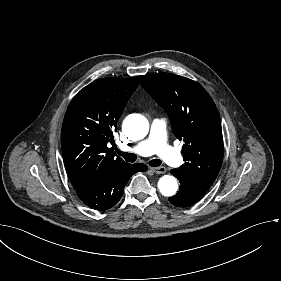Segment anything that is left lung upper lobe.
<instances>
[{"label":"left lung upper lobe","mask_w":281,"mask_h":281,"mask_svg":"<svg viewBox=\"0 0 281 281\" xmlns=\"http://www.w3.org/2000/svg\"><path fill=\"white\" fill-rule=\"evenodd\" d=\"M142 87L169 115L185 163L177 171L208 190L223 161L219 113L210 95L197 82L171 73L140 76Z\"/></svg>","instance_id":"1"}]
</instances>
